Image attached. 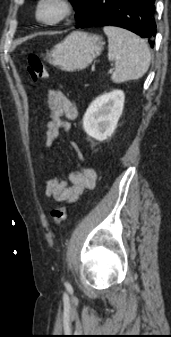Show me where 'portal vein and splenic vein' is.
<instances>
[{
  "label": "portal vein and splenic vein",
  "mask_w": 171,
  "mask_h": 337,
  "mask_svg": "<svg viewBox=\"0 0 171 337\" xmlns=\"http://www.w3.org/2000/svg\"><path fill=\"white\" fill-rule=\"evenodd\" d=\"M112 72H113V69H110V70H109V73H112Z\"/></svg>",
  "instance_id": "portal-vein-and-splenic-vein-1"
}]
</instances>
